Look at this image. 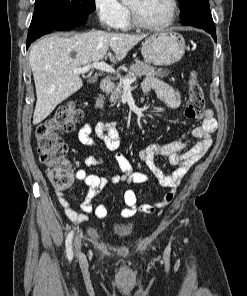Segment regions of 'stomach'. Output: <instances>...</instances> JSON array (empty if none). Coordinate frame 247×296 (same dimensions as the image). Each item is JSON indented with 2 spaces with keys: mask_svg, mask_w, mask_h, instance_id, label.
I'll return each mask as SVG.
<instances>
[{
  "mask_svg": "<svg viewBox=\"0 0 247 296\" xmlns=\"http://www.w3.org/2000/svg\"><path fill=\"white\" fill-rule=\"evenodd\" d=\"M185 49L183 36L169 29L147 37L142 43L141 53L147 63L169 66L182 59Z\"/></svg>",
  "mask_w": 247,
  "mask_h": 296,
  "instance_id": "1",
  "label": "stomach"
}]
</instances>
